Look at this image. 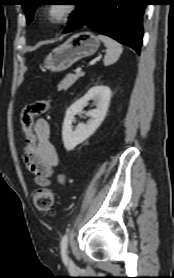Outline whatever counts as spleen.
Returning a JSON list of instances; mask_svg holds the SVG:
<instances>
[{"mask_svg":"<svg viewBox=\"0 0 174 278\" xmlns=\"http://www.w3.org/2000/svg\"><path fill=\"white\" fill-rule=\"evenodd\" d=\"M97 39L101 40L107 47V54L104 58V65L108 66L115 63L123 51L122 46L114 39L102 34L98 35Z\"/></svg>","mask_w":174,"mask_h":278,"instance_id":"spleen-1","label":"spleen"}]
</instances>
